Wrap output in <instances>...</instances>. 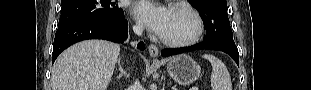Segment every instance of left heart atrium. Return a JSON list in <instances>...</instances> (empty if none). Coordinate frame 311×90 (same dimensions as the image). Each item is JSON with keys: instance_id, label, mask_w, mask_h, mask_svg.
Instances as JSON below:
<instances>
[{"instance_id": "39dd6f15", "label": "left heart atrium", "mask_w": 311, "mask_h": 90, "mask_svg": "<svg viewBox=\"0 0 311 90\" xmlns=\"http://www.w3.org/2000/svg\"><path fill=\"white\" fill-rule=\"evenodd\" d=\"M134 14L149 30L161 36L169 21L171 10L144 0L135 4Z\"/></svg>"}]
</instances>
